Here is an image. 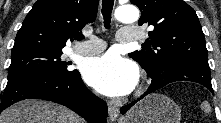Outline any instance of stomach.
<instances>
[{"label": "stomach", "mask_w": 221, "mask_h": 123, "mask_svg": "<svg viewBox=\"0 0 221 123\" xmlns=\"http://www.w3.org/2000/svg\"><path fill=\"white\" fill-rule=\"evenodd\" d=\"M181 110L163 94H151L135 104L122 123H180Z\"/></svg>", "instance_id": "stomach-1"}]
</instances>
